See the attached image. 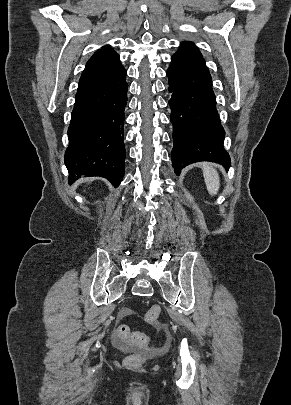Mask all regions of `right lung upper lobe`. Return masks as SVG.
<instances>
[{"mask_svg":"<svg viewBox=\"0 0 291 405\" xmlns=\"http://www.w3.org/2000/svg\"><path fill=\"white\" fill-rule=\"evenodd\" d=\"M119 55L109 46H104L88 60L79 80V89L111 79L120 74L124 67Z\"/></svg>","mask_w":291,"mask_h":405,"instance_id":"obj_1","label":"right lung upper lobe"}]
</instances>
